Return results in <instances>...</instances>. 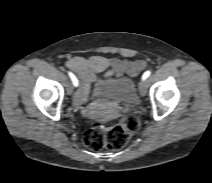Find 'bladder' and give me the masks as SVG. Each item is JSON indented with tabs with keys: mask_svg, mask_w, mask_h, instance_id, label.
Listing matches in <instances>:
<instances>
[{
	"mask_svg": "<svg viewBox=\"0 0 212 183\" xmlns=\"http://www.w3.org/2000/svg\"><path fill=\"white\" fill-rule=\"evenodd\" d=\"M95 98H111L124 103H133L136 96L134 81L128 77L101 79L95 84Z\"/></svg>",
	"mask_w": 212,
	"mask_h": 183,
	"instance_id": "obj_1",
	"label": "bladder"
}]
</instances>
